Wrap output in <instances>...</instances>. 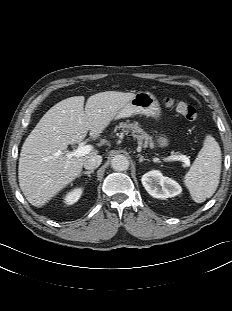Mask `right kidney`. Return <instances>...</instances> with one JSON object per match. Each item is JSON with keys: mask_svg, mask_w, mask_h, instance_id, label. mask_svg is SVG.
Segmentation results:
<instances>
[{"mask_svg": "<svg viewBox=\"0 0 232 311\" xmlns=\"http://www.w3.org/2000/svg\"><path fill=\"white\" fill-rule=\"evenodd\" d=\"M83 192L82 188H75L64 197V202L68 205H72L77 202Z\"/></svg>", "mask_w": 232, "mask_h": 311, "instance_id": "obj_1", "label": "right kidney"}]
</instances>
